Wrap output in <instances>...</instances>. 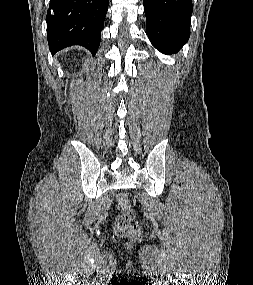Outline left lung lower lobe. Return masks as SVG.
<instances>
[{"label":"left lung lower lobe","instance_id":"0a47b994","mask_svg":"<svg viewBox=\"0 0 253 285\" xmlns=\"http://www.w3.org/2000/svg\"><path fill=\"white\" fill-rule=\"evenodd\" d=\"M148 37L154 47L174 53L188 41L192 0H143Z\"/></svg>","mask_w":253,"mask_h":285}]
</instances>
